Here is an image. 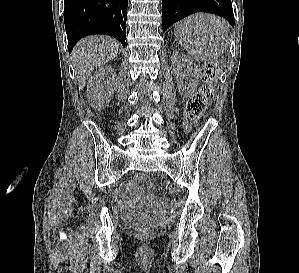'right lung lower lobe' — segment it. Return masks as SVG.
Here are the masks:
<instances>
[{"label":"right lung lower lobe","mask_w":299,"mask_h":273,"mask_svg":"<svg viewBox=\"0 0 299 273\" xmlns=\"http://www.w3.org/2000/svg\"><path fill=\"white\" fill-rule=\"evenodd\" d=\"M128 0H65L69 50L83 37L106 34L125 47Z\"/></svg>","instance_id":"right-lung-lower-lobe-1"}]
</instances>
